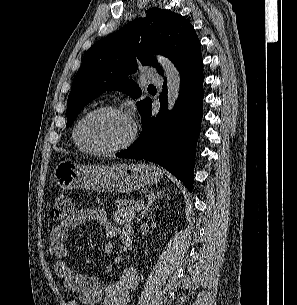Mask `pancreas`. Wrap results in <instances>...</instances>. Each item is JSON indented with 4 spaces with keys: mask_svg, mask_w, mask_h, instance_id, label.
<instances>
[{
    "mask_svg": "<svg viewBox=\"0 0 297 305\" xmlns=\"http://www.w3.org/2000/svg\"><path fill=\"white\" fill-rule=\"evenodd\" d=\"M139 202V201H137ZM117 211L113 214V219L118 224H131L134 220L135 214L138 211L137 206L135 204L124 206L122 200H117Z\"/></svg>",
    "mask_w": 297,
    "mask_h": 305,
    "instance_id": "pancreas-1",
    "label": "pancreas"
}]
</instances>
